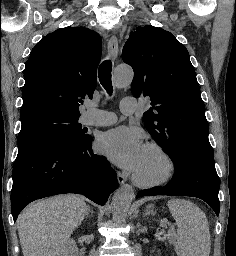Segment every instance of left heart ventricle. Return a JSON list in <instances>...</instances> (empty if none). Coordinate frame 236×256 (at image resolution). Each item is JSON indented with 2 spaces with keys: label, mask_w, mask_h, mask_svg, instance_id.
<instances>
[{
  "label": "left heart ventricle",
  "mask_w": 236,
  "mask_h": 256,
  "mask_svg": "<svg viewBox=\"0 0 236 256\" xmlns=\"http://www.w3.org/2000/svg\"><path fill=\"white\" fill-rule=\"evenodd\" d=\"M164 171L165 163L162 156L146 147L134 172L144 179L153 180L160 177Z\"/></svg>",
  "instance_id": "1"
}]
</instances>
